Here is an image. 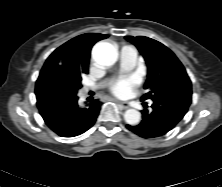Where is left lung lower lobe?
<instances>
[{
    "label": "left lung lower lobe",
    "mask_w": 222,
    "mask_h": 187,
    "mask_svg": "<svg viewBox=\"0 0 222 187\" xmlns=\"http://www.w3.org/2000/svg\"><path fill=\"white\" fill-rule=\"evenodd\" d=\"M192 90L182 89L163 93L153 99L152 112L142 111L139 125L127 128L143 138H155L167 134L184 117L191 104Z\"/></svg>",
    "instance_id": "obj_1"
}]
</instances>
